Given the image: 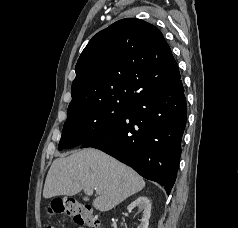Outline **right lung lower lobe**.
I'll list each match as a JSON object with an SVG mask.
<instances>
[{
	"mask_svg": "<svg viewBox=\"0 0 238 228\" xmlns=\"http://www.w3.org/2000/svg\"><path fill=\"white\" fill-rule=\"evenodd\" d=\"M187 105L179 79L128 102L122 118L89 139L93 147L131 166L146 179L164 186L167 194L176 180Z\"/></svg>",
	"mask_w": 238,
	"mask_h": 228,
	"instance_id": "obj_1",
	"label": "right lung lower lobe"
}]
</instances>
